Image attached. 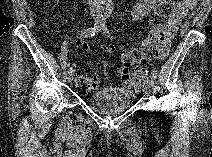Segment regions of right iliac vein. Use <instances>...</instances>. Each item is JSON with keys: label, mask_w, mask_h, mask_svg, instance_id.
Instances as JSON below:
<instances>
[{"label": "right iliac vein", "mask_w": 212, "mask_h": 157, "mask_svg": "<svg viewBox=\"0 0 212 157\" xmlns=\"http://www.w3.org/2000/svg\"><path fill=\"white\" fill-rule=\"evenodd\" d=\"M67 80L69 83H71L73 81V73H70L67 77Z\"/></svg>", "instance_id": "right-iliac-vein-1"}]
</instances>
